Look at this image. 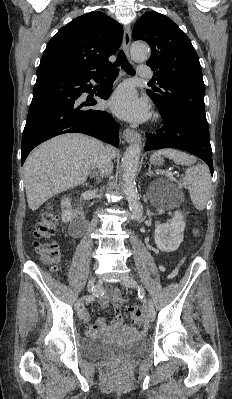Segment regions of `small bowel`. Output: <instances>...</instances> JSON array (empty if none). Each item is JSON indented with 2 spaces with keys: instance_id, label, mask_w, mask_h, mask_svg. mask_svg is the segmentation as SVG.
Here are the masks:
<instances>
[{
  "instance_id": "obj_1",
  "label": "small bowel",
  "mask_w": 232,
  "mask_h": 399,
  "mask_svg": "<svg viewBox=\"0 0 232 399\" xmlns=\"http://www.w3.org/2000/svg\"><path fill=\"white\" fill-rule=\"evenodd\" d=\"M113 298L115 299V319L110 323H107L103 317H99L96 322H91L87 308L85 306L79 307L80 314L87 320L81 325V328L86 332L89 343L93 344L101 337L110 338L117 332L128 333L131 331V327L122 321V302L121 294L118 289L109 287L106 296L101 299V306L103 308L107 307Z\"/></svg>"
}]
</instances>
